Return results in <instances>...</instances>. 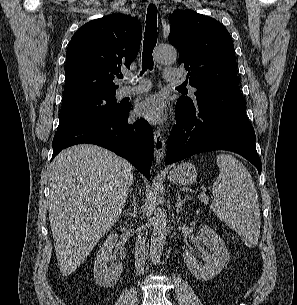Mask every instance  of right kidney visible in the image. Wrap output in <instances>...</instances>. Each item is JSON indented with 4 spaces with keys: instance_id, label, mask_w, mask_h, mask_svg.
<instances>
[{
    "instance_id": "obj_1",
    "label": "right kidney",
    "mask_w": 297,
    "mask_h": 305,
    "mask_svg": "<svg viewBox=\"0 0 297 305\" xmlns=\"http://www.w3.org/2000/svg\"><path fill=\"white\" fill-rule=\"evenodd\" d=\"M117 239L116 233H110L95 258L94 279L104 288L113 287L122 273L123 264L113 252ZM108 264H114L113 269L108 268Z\"/></svg>"
}]
</instances>
